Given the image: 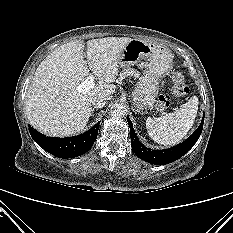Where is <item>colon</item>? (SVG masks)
I'll list each match as a JSON object with an SVG mask.
<instances>
[{
    "label": "colon",
    "mask_w": 233,
    "mask_h": 233,
    "mask_svg": "<svg viewBox=\"0 0 233 233\" xmlns=\"http://www.w3.org/2000/svg\"><path fill=\"white\" fill-rule=\"evenodd\" d=\"M188 92L185 76L182 72L176 71L171 77V94H162L158 98L156 107L160 112L166 111L172 104L173 97H182Z\"/></svg>",
    "instance_id": "1"
}]
</instances>
